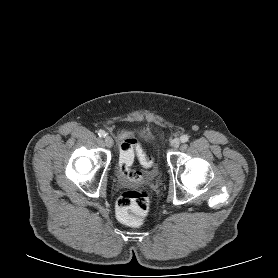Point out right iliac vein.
Listing matches in <instances>:
<instances>
[{"instance_id": "right-iliac-vein-1", "label": "right iliac vein", "mask_w": 278, "mask_h": 278, "mask_svg": "<svg viewBox=\"0 0 278 278\" xmlns=\"http://www.w3.org/2000/svg\"><path fill=\"white\" fill-rule=\"evenodd\" d=\"M104 141L107 147L110 148L113 146V139L110 136H106Z\"/></svg>"}]
</instances>
